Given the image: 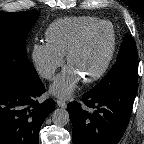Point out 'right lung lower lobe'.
<instances>
[{"mask_svg":"<svg viewBox=\"0 0 144 144\" xmlns=\"http://www.w3.org/2000/svg\"><path fill=\"white\" fill-rule=\"evenodd\" d=\"M44 92L40 79L0 80V144H38L40 127L55 107L52 99L37 100Z\"/></svg>","mask_w":144,"mask_h":144,"instance_id":"1","label":"right lung lower lobe"}]
</instances>
